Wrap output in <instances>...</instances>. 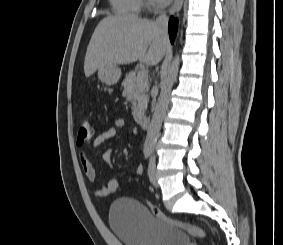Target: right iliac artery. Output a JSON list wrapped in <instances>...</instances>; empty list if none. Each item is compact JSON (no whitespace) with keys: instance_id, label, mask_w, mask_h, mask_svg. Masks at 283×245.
<instances>
[{"instance_id":"obj_1","label":"right iliac artery","mask_w":283,"mask_h":245,"mask_svg":"<svg viewBox=\"0 0 283 245\" xmlns=\"http://www.w3.org/2000/svg\"><path fill=\"white\" fill-rule=\"evenodd\" d=\"M150 153H151L150 150H145V151H144V157H145V159H147V158L149 157Z\"/></svg>"}]
</instances>
